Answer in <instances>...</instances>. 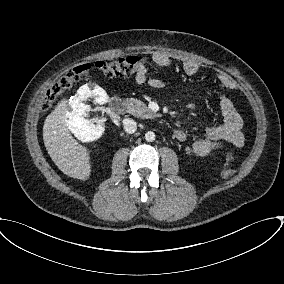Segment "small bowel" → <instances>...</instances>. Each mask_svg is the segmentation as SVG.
<instances>
[{"label": "small bowel", "instance_id": "small-bowel-1", "mask_svg": "<svg viewBox=\"0 0 284 284\" xmlns=\"http://www.w3.org/2000/svg\"><path fill=\"white\" fill-rule=\"evenodd\" d=\"M149 60L160 67H168L173 63L172 57L165 53L156 51L149 56ZM182 68L185 74L193 76L198 73L200 66L197 62L186 60L182 63ZM219 82L228 90L236 88L232 78L226 74L218 76ZM137 85L142 86L149 83L154 87H162V80L155 76H149L146 66L140 68L135 76ZM219 107L223 117V124H211L206 127L203 136L196 139L190 146L186 148L189 155L206 157L213 152L223 150L226 144H231L236 148H241L244 144V136L242 134L243 121L235 108L233 102L224 95L219 98ZM176 138L184 142L187 140V133L177 131Z\"/></svg>", "mask_w": 284, "mask_h": 284}]
</instances>
